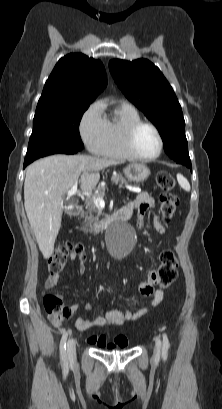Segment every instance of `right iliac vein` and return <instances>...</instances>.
Returning <instances> with one entry per match:
<instances>
[{
  "label": "right iliac vein",
  "mask_w": 222,
  "mask_h": 409,
  "mask_svg": "<svg viewBox=\"0 0 222 409\" xmlns=\"http://www.w3.org/2000/svg\"><path fill=\"white\" fill-rule=\"evenodd\" d=\"M67 356L70 362H74L76 359V341L69 339L67 342Z\"/></svg>",
  "instance_id": "63e3f726"
}]
</instances>
